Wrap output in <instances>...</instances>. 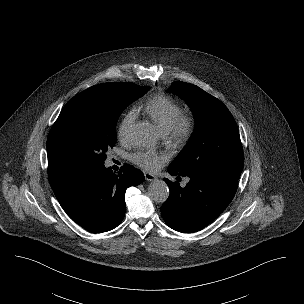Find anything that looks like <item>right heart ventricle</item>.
Returning <instances> with one entry per match:
<instances>
[{"instance_id":"1","label":"right heart ventricle","mask_w":304,"mask_h":304,"mask_svg":"<svg viewBox=\"0 0 304 304\" xmlns=\"http://www.w3.org/2000/svg\"><path fill=\"white\" fill-rule=\"evenodd\" d=\"M144 111L164 133L168 130L175 117L181 112V109L171 98L156 94L146 100Z\"/></svg>"}]
</instances>
